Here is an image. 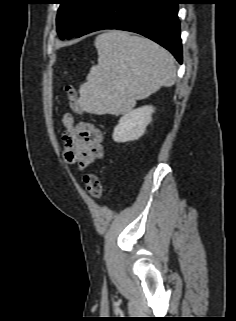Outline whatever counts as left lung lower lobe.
<instances>
[{"label":"left lung lower lobe","instance_id":"obj_1","mask_svg":"<svg viewBox=\"0 0 236 321\" xmlns=\"http://www.w3.org/2000/svg\"><path fill=\"white\" fill-rule=\"evenodd\" d=\"M178 4L181 0H103L76 37L102 29L135 32L169 50L182 64Z\"/></svg>","mask_w":236,"mask_h":321}]
</instances>
